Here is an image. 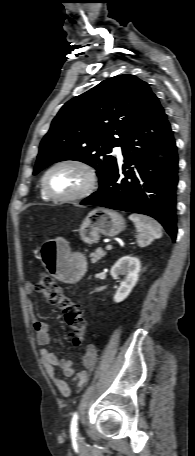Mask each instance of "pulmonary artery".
I'll use <instances>...</instances> for the list:
<instances>
[{
  "instance_id": "e3ab8cb5",
  "label": "pulmonary artery",
  "mask_w": 195,
  "mask_h": 456,
  "mask_svg": "<svg viewBox=\"0 0 195 456\" xmlns=\"http://www.w3.org/2000/svg\"><path fill=\"white\" fill-rule=\"evenodd\" d=\"M115 152H116V154H117L119 157L122 156V148H121V147H117V148L115 149Z\"/></svg>"
}]
</instances>
